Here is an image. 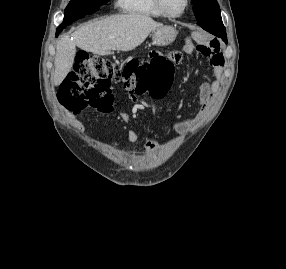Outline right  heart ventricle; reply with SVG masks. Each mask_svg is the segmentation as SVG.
<instances>
[{
	"label": "right heart ventricle",
	"instance_id": "e07e8e85",
	"mask_svg": "<svg viewBox=\"0 0 286 269\" xmlns=\"http://www.w3.org/2000/svg\"><path fill=\"white\" fill-rule=\"evenodd\" d=\"M118 9L130 16L161 18L162 13L157 9L154 0H116Z\"/></svg>",
	"mask_w": 286,
	"mask_h": 269
}]
</instances>
